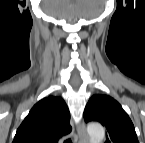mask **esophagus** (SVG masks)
Wrapping results in <instances>:
<instances>
[{
    "mask_svg": "<svg viewBox=\"0 0 145 143\" xmlns=\"http://www.w3.org/2000/svg\"><path fill=\"white\" fill-rule=\"evenodd\" d=\"M77 133L78 143H88V137L83 123L78 126Z\"/></svg>",
    "mask_w": 145,
    "mask_h": 143,
    "instance_id": "1",
    "label": "esophagus"
}]
</instances>
